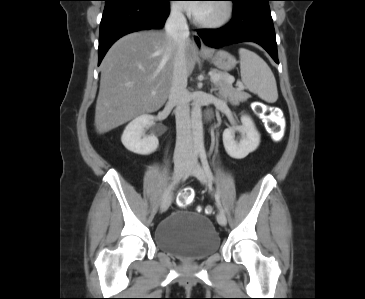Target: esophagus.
I'll list each match as a JSON object with an SVG mask.
<instances>
[{
  "label": "esophagus",
  "mask_w": 365,
  "mask_h": 299,
  "mask_svg": "<svg viewBox=\"0 0 365 299\" xmlns=\"http://www.w3.org/2000/svg\"><path fill=\"white\" fill-rule=\"evenodd\" d=\"M192 43H193V46L195 47L196 51L200 52L205 49L202 39L197 35L196 32H193V34H192Z\"/></svg>",
  "instance_id": "obj_1"
}]
</instances>
